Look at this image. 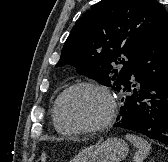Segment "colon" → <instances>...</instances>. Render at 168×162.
Wrapping results in <instances>:
<instances>
[{
	"label": "colon",
	"instance_id": "5ec220e1",
	"mask_svg": "<svg viewBox=\"0 0 168 162\" xmlns=\"http://www.w3.org/2000/svg\"><path fill=\"white\" fill-rule=\"evenodd\" d=\"M47 160H48V155L42 154L36 162H47Z\"/></svg>",
	"mask_w": 168,
	"mask_h": 162
}]
</instances>
